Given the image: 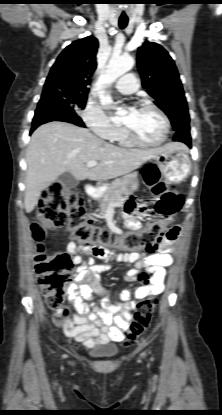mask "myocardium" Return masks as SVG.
Returning <instances> with one entry per match:
<instances>
[{
    "instance_id": "f54148a6",
    "label": "myocardium",
    "mask_w": 222,
    "mask_h": 415,
    "mask_svg": "<svg viewBox=\"0 0 222 415\" xmlns=\"http://www.w3.org/2000/svg\"><path fill=\"white\" fill-rule=\"evenodd\" d=\"M138 108H151V109L155 110L163 120L164 133H163L162 138L159 139L158 141L149 142V141H145V140L141 139L130 127L123 124V130H124L126 136L128 137V139L133 144L143 146V147H157V146L163 145L167 141V139L169 137L170 129H171V122H170V119L167 116V114L160 107H158L156 104H154V103H152L151 101H148V100H143V101L139 102Z\"/></svg>"
}]
</instances>
